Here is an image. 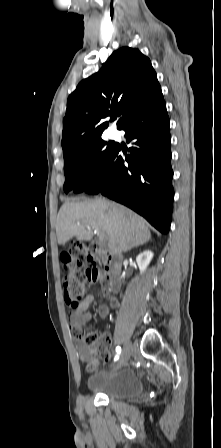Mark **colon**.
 Instances as JSON below:
<instances>
[{
    "label": "colon",
    "mask_w": 221,
    "mask_h": 448,
    "mask_svg": "<svg viewBox=\"0 0 221 448\" xmlns=\"http://www.w3.org/2000/svg\"><path fill=\"white\" fill-rule=\"evenodd\" d=\"M105 256L101 255L94 246H84L76 244L61 253V261L65 272L63 287L65 302L68 307L76 309L84 300L88 285L101 282L107 275L105 269L100 267V263ZM85 343L104 349L109 339L107 337L98 338L93 330L82 334ZM102 360H107V355H102ZM96 363L88 366V370H94Z\"/></svg>",
    "instance_id": "obj_1"
}]
</instances>
